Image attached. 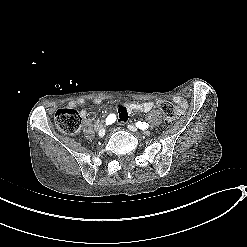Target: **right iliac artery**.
I'll return each instance as SVG.
<instances>
[{
  "mask_svg": "<svg viewBox=\"0 0 247 247\" xmlns=\"http://www.w3.org/2000/svg\"><path fill=\"white\" fill-rule=\"evenodd\" d=\"M116 120V115L115 114H110L107 118H106V125H110L112 123H114Z\"/></svg>",
  "mask_w": 247,
  "mask_h": 247,
  "instance_id": "right-iliac-artery-1",
  "label": "right iliac artery"
}]
</instances>
